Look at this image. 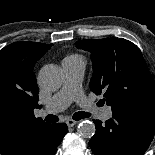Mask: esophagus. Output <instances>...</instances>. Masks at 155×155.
<instances>
[{
    "label": "esophagus",
    "instance_id": "esophagus-1",
    "mask_svg": "<svg viewBox=\"0 0 155 155\" xmlns=\"http://www.w3.org/2000/svg\"><path fill=\"white\" fill-rule=\"evenodd\" d=\"M76 123H77V121H75L73 119H67L66 120V124L68 127H73Z\"/></svg>",
    "mask_w": 155,
    "mask_h": 155
}]
</instances>
